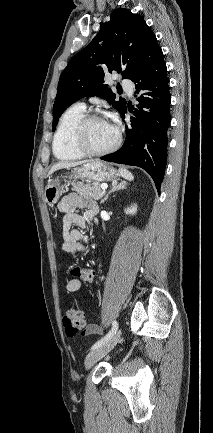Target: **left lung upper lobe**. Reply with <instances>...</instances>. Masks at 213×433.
Segmentation results:
<instances>
[{
    "label": "left lung upper lobe",
    "instance_id": "1",
    "mask_svg": "<svg viewBox=\"0 0 213 433\" xmlns=\"http://www.w3.org/2000/svg\"><path fill=\"white\" fill-rule=\"evenodd\" d=\"M157 39L144 18L129 9H117L90 44L77 53L62 72L53 105V131L62 113L83 97L105 98L122 113L126 100L104 85L106 73L117 71L132 79L158 48Z\"/></svg>",
    "mask_w": 213,
    "mask_h": 433
}]
</instances>
